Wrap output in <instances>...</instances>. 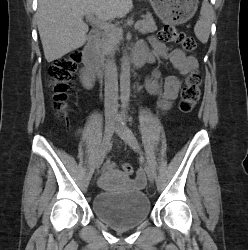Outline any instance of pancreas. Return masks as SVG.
I'll return each mask as SVG.
<instances>
[{"mask_svg": "<svg viewBox=\"0 0 248 250\" xmlns=\"http://www.w3.org/2000/svg\"><path fill=\"white\" fill-rule=\"evenodd\" d=\"M136 29L142 34L153 33L157 30L155 21L150 13L143 16V20L138 21ZM122 37V30L116 27L108 28L101 40V52L103 55L114 51Z\"/></svg>", "mask_w": 248, "mask_h": 250, "instance_id": "cf45deb5", "label": "pancreas"}]
</instances>
